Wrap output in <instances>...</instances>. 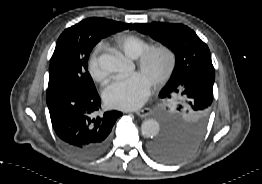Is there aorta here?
I'll use <instances>...</instances> for the list:
<instances>
[{"label": "aorta", "instance_id": "aorta-1", "mask_svg": "<svg viewBox=\"0 0 262 184\" xmlns=\"http://www.w3.org/2000/svg\"><path fill=\"white\" fill-rule=\"evenodd\" d=\"M142 134L147 138H153L160 131V123L155 119H146L141 125Z\"/></svg>", "mask_w": 262, "mask_h": 184}]
</instances>
